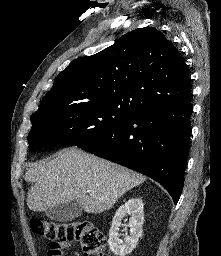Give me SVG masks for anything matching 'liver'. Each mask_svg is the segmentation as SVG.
<instances>
[{"label": "liver", "instance_id": "6515ba94", "mask_svg": "<svg viewBox=\"0 0 221 256\" xmlns=\"http://www.w3.org/2000/svg\"><path fill=\"white\" fill-rule=\"evenodd\" d=\"M146 180L121 165L76 147L63 149L51 160L30 167L27 206L35 212L77 200L87 213L109 210L128 190Z\"/></svg>", "mask_w": 221, "mask_h": 256}]
</instances>
